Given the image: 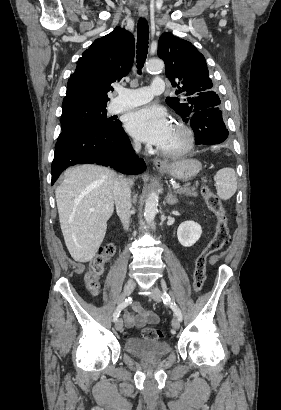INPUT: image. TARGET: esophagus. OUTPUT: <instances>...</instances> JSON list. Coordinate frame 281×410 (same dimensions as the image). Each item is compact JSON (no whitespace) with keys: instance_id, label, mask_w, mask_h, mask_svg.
<instances>
[{"instance_id":"1","label":"esophagus","mask_w":281,"mask_h":410,"mask_svg":"<svg viewBox=\"0 0 281 410\" xmlns=\"http://www.w3.org/2000/svg\"><path fill=\"white\" fill-rule=\"evenodd\" d=\"M139 15L141 16V17H147L148 16V10L147 9H142V8H140L139 9ZM167 162L166 161H163V160H161V159H155L154 160V165L156 166V167H165V166H167Z\"/></svg>"}]
</instances>
